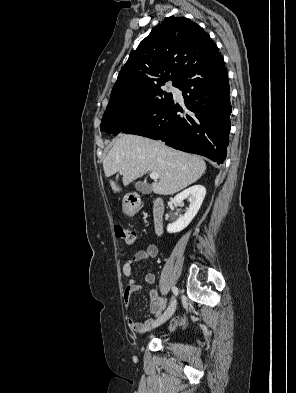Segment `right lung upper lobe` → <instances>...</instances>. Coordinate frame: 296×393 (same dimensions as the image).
<instances>
[{
  "label": "right lung upper lobe",
  "instance_id": "obj_1",
  "mask_svg": "<svg viewBox=\"0 0 296 393\" xmlns=\"http://www.w3.org/2000/svg\"><path fill=\"white\" fill-rule=\"evenodd\" d=\"M215 46L208 33L185 17L171 16L152 29L121 68L109 102L138 95L182 74Z\"/></svg>",
  "mask_w": 296,
  "mask_h": 393
}]
</instances>
